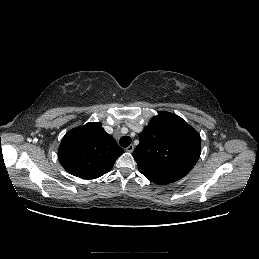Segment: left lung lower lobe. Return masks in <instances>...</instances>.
Masks as SVG:
<instances>
[{
    "instance_id": "0a47b994",
    "label": "left lung lower lobe",
    "mask_w": 259,
    "mask_h": 259,
    "mask_svg": "<svg viewBox=\"0 0 259 259\" xmlns=\"http://www.w3.org/2000/svg\"><path fill=\"white\" fill-rule=\"evenodd\" d=\"M147 178H148L151 182H154V183H156V184H164V183H162V182L153 180V179H151V178H149V177H147Z\"/></svg>"
}]
</instances>
